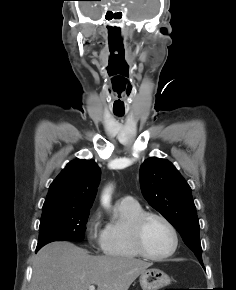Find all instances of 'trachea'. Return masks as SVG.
Wrapping results in <instances>:
<instances>
[{"label":"trachea","mask_w":236,"mask_h":290,"mask_svg":"<svg viewBox=\"0 0 236 290\" xmlns=\"http://www.w3.org/2000/svg\"><path fill=\"white\" fill-rule=\"evenodd\" d=\"M115 115L121 117L123 116V113H115Z\"/></svg>","instance_id":"trachea-1"}]
</instances>
